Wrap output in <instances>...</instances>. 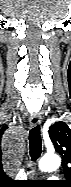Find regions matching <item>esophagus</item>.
Returning a JSON list of instances; mask_svg holds the SVG:
<instances>
[{
	"label": "esophagus",
	"mask_w": 71,
	"mask_h": 187,
	"mask_svg": "<svg viewBox=\"0 0 71 187\" xmlns=\"http://www.w3.org/2000/svg\"><path fill=\"white\" fill-rule=\"evenodd\" d=\"M41 120H42V117L39 113L32 115L29 120L30 126L35 127V126L39 125L41 123Z\"/></svg>",
	"instance_id": "1"
}]
</instances>
